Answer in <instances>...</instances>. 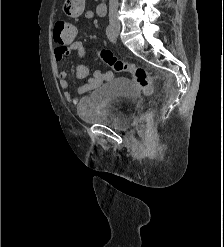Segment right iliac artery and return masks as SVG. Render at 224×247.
Segmentation results:
<instances>
[{
	"instance_id": "1",
	"label": "right iliac artery",
	"mask_w": 224,
	"mask_h": 247,
	"mask_svg": "<svg viewBox=\"0 0 224 247\" xmlns=\"http://www.w3.org/2000/svg\"><path fill=\"white\" fill-rule=\"evenodd\" d=\"M106 35L112 43H116V34H115V31L113 30L112 26H110V25L107 26Z\"/></svg>"
}]
</instances>
